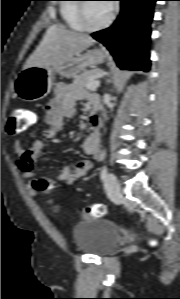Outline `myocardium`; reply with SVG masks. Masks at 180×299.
Wrapping results in <instances>:
<instances>
[{
    "label": "myocardium",
    "mask_w": 180,
    "mask_h": 299,
    "mask_svg": "<svg viewBox=\"0 0 180 299\" xmlns=\"http://www.w3.org/2000/svg\"><path fill=\"white\" fill-rule=\"evenodd\" d=\"M85 1V0H82ZM78 21L83 29L86 32H97L107 28L114 20L115 11L114 8L111 6L110 14L108 18L99 25L92 26L89 25L86 16V2H80L78 4V13H77Z\"/></svg>",
    "instance_id": "f54148a6"
}]
</instances>
